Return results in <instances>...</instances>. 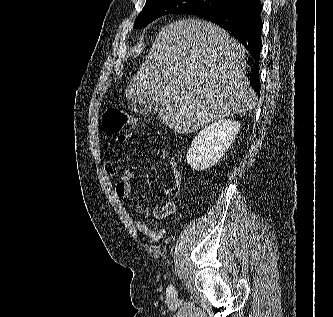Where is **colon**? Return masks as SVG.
<instances>
[{"instance_id":"1","label":"colon","mask_w":333,"mask_h":317,"mask_svg":"<svg viewBox=\"0 0 333 317\" xmlns=\"http://www.w3.org/2000/svg\"><path fill=\"white\" fill-rule=\"evenodd\" d=\"M134 123V118L122 109L110 106L102 114V130L108 135H118Z\"/></svg>"}]
</instances>
